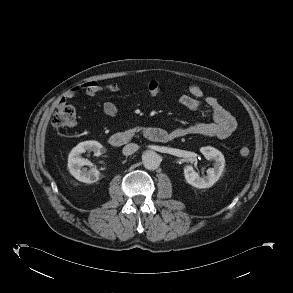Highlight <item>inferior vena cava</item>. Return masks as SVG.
I'll return each mask as SVG.
<instances>
[{
  "mask_svg": "<svg viewBox=\"0 0 293 293\" xmlns=\"http://www.w3.org/2000/svg\"><path fill=\"white\" fill-rule=\"evenodd\" d=\"M139 149V146L135 143H129L127 145L124 146L122 153L125 156H129L131 154H133L134 152H136Z\"/></svg>",
  "mask_w": 293,
  "mask_h": 293,
  "instance_id": "obj_1",
  "label": "inferior vena cava"
}]
</instances>
